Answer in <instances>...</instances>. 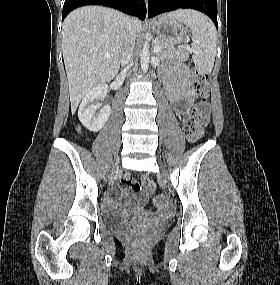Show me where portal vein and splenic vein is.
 Returning <instances> with one entry per match:
<instances>
[{"instance_id": "obj_1", "label": "portal vein and splenic vein", "mask_w": 280, "mask_h": 285, "mask_svg": "<svg viewBox=\"0 0 280 285\" xmlns=\"http://www.w3.org/2000/svg\"><path fill=\"white\" fill-rule=\"evenodd\" d=\"M159 51H161V47H160V46H155V47H154V52H155V53H158ZM106 58H109V55H108V54L106 55Z\"/></svg>"}]
</instances>
